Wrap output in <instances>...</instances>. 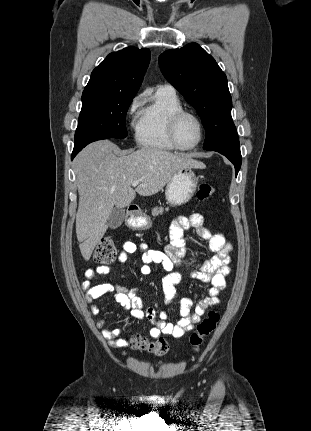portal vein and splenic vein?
<instances>
[{"instance_id":"portal-vein-and-splenic-vein-1","label":"portal vein and splenic vein","mask_w":311,"mask_h":431,"mask_svg":"<svg viewBox=\"0 0 311 431\" xmlns=\"http://www.w3.org/2000/svg\"><path fill=\"white\" fill-rule=\"evenodd\" d=\"M140 182H142V180H135V182H132L133 188H136V186H138V184H140Z\"/></svg>"}]
</instances>
